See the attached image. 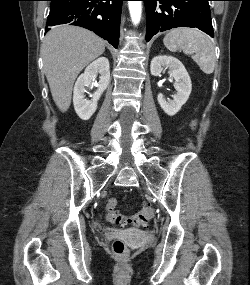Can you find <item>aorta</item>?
Here are the masks:
<instances>
[{"mask_svg": "<svg viewBox=\"0 0 250 285\" xmlns=\"http://www.w3.org/2000/svg\"><path fill=\"white\" fill-rule=\"evenodd\" d=\"M128 8L133 24L138 25L141 20L142 1H128Z\"/></svg>", "mask_w": 250, "mask_h": 285, "instance_id": "obj_1", "label": "aorta"}]
</instances>
